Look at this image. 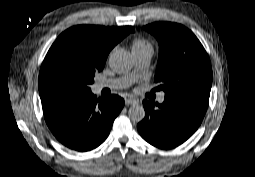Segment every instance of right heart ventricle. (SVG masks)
I'll list each match as a JSON object with an SVG mask.
<instances>
[{
    "instance_id": "obj_1",
    "label": "right heart ventricle",
    "mask_w": 255,
    "mask_h": 177,
    "mask_svg": "<svg viewBox=\"0 0 255 177\" xmlns=\"http://www.w3.org/2000/svg\"><path fill=\"white\" fill-rule=\"evenodd\" d=\"M131 48H132V52L135 53V52H141L147 49L152 50V45L148 40L142 37H137L132 41Z\"/></svg>"
}]
</instances>
